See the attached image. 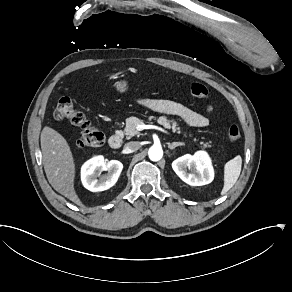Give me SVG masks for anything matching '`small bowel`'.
<instances>
[{"label":"small bowel","instance_id":"1","mask_svg":"<svg viewBox=\"0 0 292 292\" xmlns=\"http://www.w3.org/2000/svg\"><path fill=\"white\" fill-rule=\"evenodd\" d=\"M138 104L152 111L177 116L186 124L193 127H205L209 123V115L213 111V106L208 104L205 108V113L196 112L189 107L167 99H156L141 97L137 100Z\"/></svg>","mask_w":292,"mask_h":292}]
</instances>
